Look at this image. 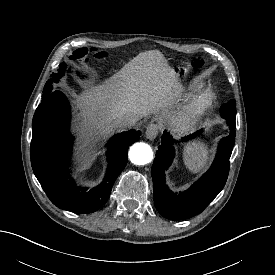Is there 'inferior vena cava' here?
Instances as JSON below:
<instances>
[{
    "mask_svg": "<svg viewBox=\"0 0 275 275\" xmlns=\"http://www.w3.org/2000/svg\"><path fill=\"white\" fill-rule=\"evenodd\" d=\"M138 120H139L138 116H135L133 114H126L117 120V127L120 129L132 128L133 126L136 125V122Z\"/></svg>",
    "mask_w": 275,
    "mask_h": 275,
    "instance_id": "inferior-vena-cava-1",
    "label": "inferior vena cava"
}]
</instances>
